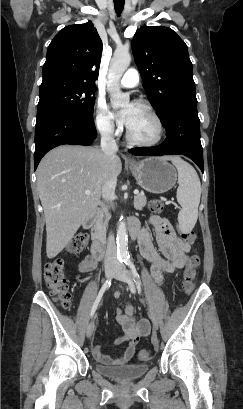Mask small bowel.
Masks as SVG:
<instances>
[{
    "instance_id": "obj_1",
    "label": "small bowel",
    "mask_w": 243,
    "mask_h": 409,
    "mask_svg": "<svg viewBox=\"0 0 243 409\" xmlns=\"http://www.w3.org/2000/svg\"><path fill=\"white\" fill-rule=\"evenodd\" d=\"M148 224L153 227L156 237L157 247L154 246L149 230L140 228L135 220L130 221V228L138 233V243L142 256L151 264V273L156 283L161 284L163 274L173 273L176 269L185 266L189 244L183 242L173 231L169 222L160 216H151ZM97 267V262L90 255L86 256L79 264V272L87 273ZM121 296V291L114 293L115 298ZM133 306L130 303L124 304L117 310L116 319L122 328V334L118 336L113 345L118 346L128 343L122 354L111 357L105 354L100 345L93 344L92 355L98 362L105 364H126L134 355L138 340L147 334L148 325L145 321H136L133 317Z\"/></svg>"
}]
</instances>
